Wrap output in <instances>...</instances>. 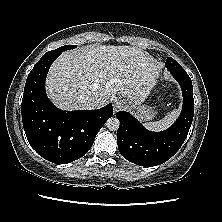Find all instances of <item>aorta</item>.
<instances>
[{
  "label": "aorta",
  "instance_id": "762f6f07",
  "mask_svg": "<svg viewBox=\"0 0 222 222\" xmlns=\"http://www.w3.org/2000/svg\"><path fill=\"white\" fill-rule=\"evenodd\" d=\"M119 125H120V122L116 117L109 118L106 122V126L110 131L118 130Z\"/></svg>",
  "mask_w": 222,
  "mask_h": 222
}]
</instances>
